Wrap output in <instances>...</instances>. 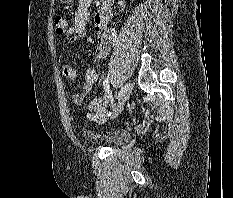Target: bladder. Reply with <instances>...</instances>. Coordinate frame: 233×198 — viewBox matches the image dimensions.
<instances>
[{
  "instance_id": "1",
  "label": "bladder",
  "mask_w": 233,
  "mask_h": 198,
  "mask_svg": "<svg viewBox=\"0 0 233 198\" xmlns=\"http://www.w3.org/2000/svg\"><path fill=\"white\" fill-rule=\"evenodd\" d=\"M100 138L111 146H118L130 139V133L125 129H114L100 136Z\"/></svg>"
}]
</instances>
